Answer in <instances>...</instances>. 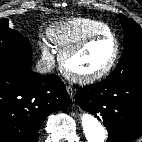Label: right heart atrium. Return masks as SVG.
I'll use <instances>...</instances> for the list:
<instances>
[{
	"label": "right heart atrium",
	"instance_id": "1",
	"mask_svg": "<svg viewBox=\"0 0 142 142\" xmlns=\"http://www.w3.org/2000/svg\"><path fill=\"white\" fill-rule=\"evenodd\" d=\"M40 48H41L42 54L44 56H46V57H50L51 56V50H50L49 46L45 42H42L40 44Z\"/></svg>",
	"mask_w": 142,
	"mask_h": 142
}]
</instances>
